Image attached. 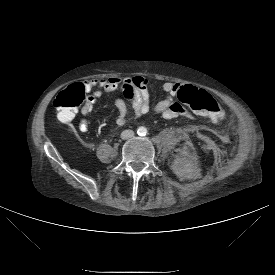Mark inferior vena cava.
<instances>
[{
    "instance_id": "inferior-vena-cava-1",
    "label": "inferior vena cava",
    "mask_w": 275,
    "mask_h": 275,
    "mask_svg": "<svg viewBox=\"0 0 275 275\" xmlns=\"http://www.w3.org/2000/svg\"><path fill=\"white\" fill-rule=\"evenodd\" d=\"M134 136V132L133 130H124L122 133H121V138L122 139H129V138H132Z\"/></svg>"
}]
</instances>
